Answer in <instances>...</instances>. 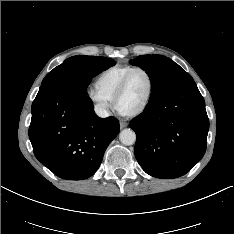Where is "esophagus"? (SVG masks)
<instances>
[{"mask_svg": "<svg viewBox=\"0 0 234 234\" xmlns=\"http://www.w3.org/2000/svg\"><path fill=\"white\" fill-rule=\"evenodd\" d=\"M125 127H127V122L124 121V120H121V121H120V128L123 129V128H125Z\"/></svg>", "mask_w": 234, "mask_h": 234, "instance_id": "1", "label": "esophagus"}]
</instances>
